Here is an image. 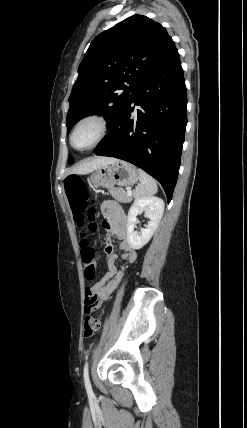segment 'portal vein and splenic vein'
I'll return each instance as SVG.
<instances>
[{
  "label": "portal vein and splenic vein",
  "instance_id": "1",
  "mask_svg": "<svg viewBox=\"0 0 247 428\" xmlns=\"http://www.w3.org/2000/svg\"><path fill=\"white\" fill-rule=\"evenodd\" d=\"M127 195H128V196H131V195H132V191H131V190H128V191H127Z\"/></svg>",
  "mask_w": 247,
  "mask_h": 428
}]
</instances>
